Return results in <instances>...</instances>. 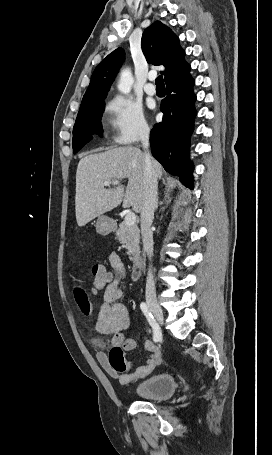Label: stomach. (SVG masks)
Instances as JSON below:
<instances>
[{"label":"stomach","mask_w":272,"mask_h":455,"mask_svg":"<svg viewBox=\"0 0 272 455\" xmlns=\"http://www.w3.org/2000/svg\"><path fill=\"white\" fill-rule=\"evenodd\" d=\"M114 222L107 216H99L96 223V230L100 235L106 236L113 231Z\"/></svg>","instance_id":"obj_1"}]
</instances>
